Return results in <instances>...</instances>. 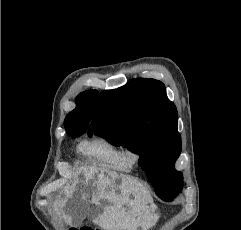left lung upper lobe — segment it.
Returning <instances> with one entry per match:
<instances>
[{"label":"left lung upper lobe","instance_id":"left-lung-upper-lobe-1","mask_svg":"<svg viewBox=\"0 0 241 230\" xmlns=\"http://www.w3.org/2000/svg\"><path fill=\"white\" fill-rule=\"evenodd\" d=\"M93 133L138 152L139 164L161 199L171 201L181 190L183 177L174 168L181 152L177 109L162 82L139 78L103 91L88 132Z\"/></svg>","mask_w":241,"mask_h":230}]
</instances>
